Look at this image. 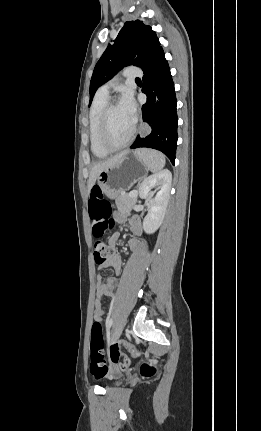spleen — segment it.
Listing matches in <instances>:
<instances>
[{
    "mask_svg": "<svg viewBox=\"0 0 261 431\" xmlns=\"http://www.w3.org/2000/svg\"><path fill=\"white\" fill-rule=\"evenodd\" d=\"M136 151L152 172H157L165 166L166 161L162 153L151 149H140Z\"/></svg>",
    "mask_w": 261,
    "mask_h": 431,
    "instance_id": "3e777b00",
    "label": "spleen"
}]
</instances>
